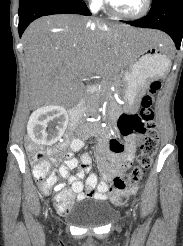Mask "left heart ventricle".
Returning a JSON list of instances; mask_svg holds the SVG:
<instances>
[{
    "label": "left heart ventricle",
    "instance_id": "1",
    "mask_svg": "<svg viewBox=\"0 0 183 246\" xmlns=\"http://www.w3.org/2000/svg\"><path fill=\"white\" fill-rule=\"evenodd\" d=\"M114 8L124 14H135L141 10L144 0H110Z\"/></svg>",
    "mask_w": 183,
    "mask_h": 246
}]
</instances>
